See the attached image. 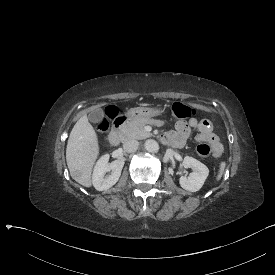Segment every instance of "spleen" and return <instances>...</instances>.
Segmentation results:
<instances>
[{"instance_id": "spleen-1", "label": "spleen", "mask_w": 275, "mask_h": 275, "mask_svg": "<svg viewBox=\"0 0 275 275\" xmlns=\"http://www.w3.org/2000/svg\"><path fill=\"white\" fill-rule=\"evenodd\" d=\"M225 169H226V161H221L220 166L218 168V173H217L214 183H213L214 185L219 183V181L221 180V178L224 174Z\"/></svg>"}]
</instances>
